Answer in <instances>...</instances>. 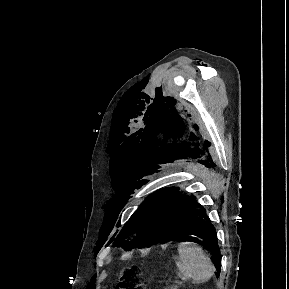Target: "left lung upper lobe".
Returning <instances> with one entry per match:
<instances>
[{"mask_svg":"<svg viewBox=\"0 0 289 289\" xmlns=\"http://www.w3.org/2000/svg\"><path fill=\"white\" fill-rule=\"evenodd\" d=\"M178 195V188H166L149 195L116 237L114 246L131 250L165 242L169 218L164 215V209Z\"/></svg>","mask_w":289,"mask_h":289,"instance_id":"obj_1","label":"left lung upper lobe"}]
</instances>
